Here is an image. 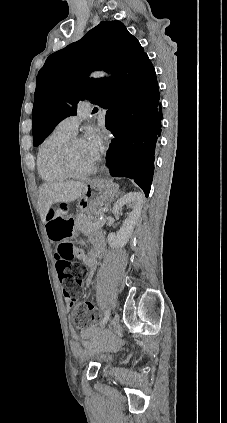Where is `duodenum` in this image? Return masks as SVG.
I'll use <instances>...</instances> for the list:
<instances>
[{
    "label": "duodenum",
    "mask_w": 227,
    "mask_h": 423,
    "mask_svg": "<svg viewBox=\"0 0 227 423\" xmlns=\"http://www.w3.org/2000/svg\"><path fill=\"white\" fill-rule=\"evenodd\" d=\"M71 223V222H70ZM72 224V223H71ZM104 251V245L102 243H98L96 245V255H98V253H103Z\"/></svg>",
    "instance_id": "duodenum-1"
}]
</instances>
